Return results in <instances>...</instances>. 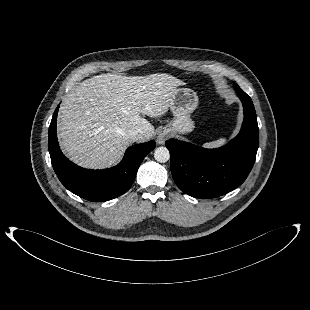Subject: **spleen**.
Instances as JSON below:
<instances>
[{"label":"spleen","mask_w":310,"mask_h":310,"mask_svg":"<svg viewBox=\"0 0 310 310\" xmlns=\"http://www.w3.org/2000/svg\"><path fill=\"white\" fill-rule=\"evenodd\" d=\"M226 142L225 138H221L217 141H213V142H209V143H205L204 146L205 147H219L221 145H223Z\"/></svg>","instance_id":"3e777b00"}]
</instances>
